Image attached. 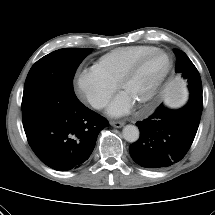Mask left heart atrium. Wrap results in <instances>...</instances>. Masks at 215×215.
<instances>
[{
    "instance_id": "left-heart-atrium-1",
    "label": "left heart atrium",
    "mask_w": 215,
    "mask_h": 215,
    "mask_svg": "<svg viewBox=\"0 0 215 215\" xmlns=\"http://www.w3.org/2000/svg\"><path fill=\"white\" fill-rule=\"evenodd\" d=\"M134 103L130 98L123 92H121L115 99L111 102L108 107V114L114 117H119L130 112Z\"/></svg>"
}]
</instances>
